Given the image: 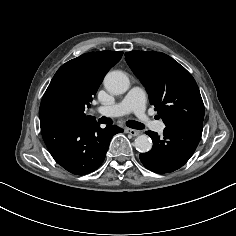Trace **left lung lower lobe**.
Segmentation results:
<instances>
[{"mask_svg": "<svg viewBox=\"0 0 236 236\" xmlns=\"http://www.w3.org/2000/svg\"><path fill=\"white\" fill-rule=\"evenodd\" d=\"M202 130L203 124L186 122L166 126L162 137L146 131L153 140V147L149 152L140 154L142 164L160 174L179 169L194 153Z\"/></svg>", "mask_w": 236, "mask_h": 236, "instance_id": "1", "label": "left lung lower lobe"}]
</instances>
